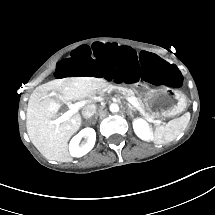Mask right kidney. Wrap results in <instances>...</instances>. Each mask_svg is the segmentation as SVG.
I'll list each match as a JSON object with an SVG mask.
<instances>
[{"label": "right kidney", "instance_id": "obj_1", "mask_svg": "<svg viewBox=\"0 0 215 215\" xmlns=\"http://www.w3.org/2000/svg\"><path fill=\"white\" fill-rule=\"evenodd\" d=\"M87 136V143L82 147L79 146V143L82 137ZM96 141V132L93 128H84L77 135H75L69 144V151L73 157H82L86 155L95 145Z\"/></svg>", "mask_w": 215, "mask_h": 215}]
</instances>
